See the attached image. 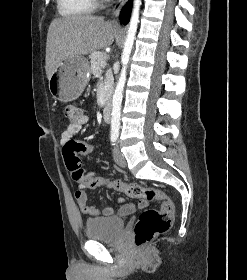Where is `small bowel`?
I'll use <instances>...</instances> for the list:
<instances>
[{
	"label": "small bowel",
	"mask_w": 247,
	"mask_h": 280,
	"mask_svg": "<svg viewBox=\"0 0 247 280\" xmlns=\"http://www.w3.org/2000/svg\"><path fill=\"white\" fill-rule=\"evenodd\" d=\"M89 123V117L87 115L81 114L78 120L74 123H70L67 128L63 131L61 135V144L63 147L66 145L67 142L70 140H74V137L79 133L83 126ZM86 176H98L92 172L87 173ZM75 197L80 207L81 212L87 216H98L101 212L98 208L91 206L88 204V197L86 190L81 186V183L78 184ZM122 200L119 199V202ZM146 205L144 201L140 202L137 207L143 208ZM136 209L134 204H124L121 206L119 210L120 215H128L132 213ZM103 215L105 216H112L113 209L110 207H106L102 211Z\"/></svg>",
	"instance_id": "1"
}]
</instances>
